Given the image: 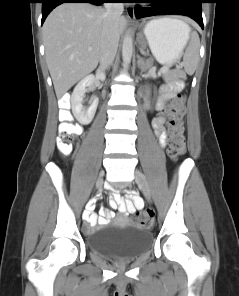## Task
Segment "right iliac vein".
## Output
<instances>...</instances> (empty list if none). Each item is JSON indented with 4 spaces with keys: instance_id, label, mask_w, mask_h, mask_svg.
Wrapping results in <instances>:
<instances>
[{
    "instance_id": "63e3f726",
    "label": "right iliac vein",
    "mask_w": 239,
    "mask_h": 296,
    "mask_svg": "<svg viewBox=\"0 0 239 296\" xmlns=\"http://www.w3.org/2000/svg\"><path fill=\"white\" fill-rule=\"evenodd\" d=\"M103 185V178L100 176L96 181V188H101Z\"/></svg>"
}]
</instances>
